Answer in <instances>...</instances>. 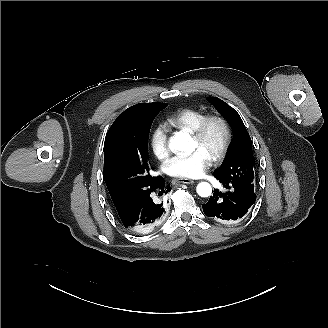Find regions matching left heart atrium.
Segmentation results:
<instances>
[{"label": "left heart atrium", "mask_w": 328, "mask_h": 328, "mask_svg": "<svg viewBox=\"0 0 328 328\" xmlns=\"http://www.w3.org/2000/svg\"><path fill=\"white\" fill-rule=\"evenodd\" d=\"M210 165L211 158L202 150L196 149L168 160L165 169L172 176L193 179L202 177Z\"/></svg>", "instance_id": "39dd6f15"}]
</instances>
